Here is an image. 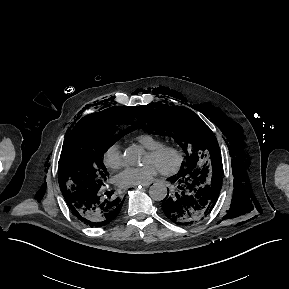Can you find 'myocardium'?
<instances>
[{
  "instance_id": "obj_1",
  "label": "myocardium",
  "mask_w": 289,
  "mask_h": 289,
  "mask_svg": "<svg viewBox=\"0 0 289 289\" xmlns=\"http://www.w3.org/2000/svg\"><path fill=\"white\" fill-rule=\"evenodd\" d=\"M147 153L156 159H160L167 154L173 155L174 160L170 166L158 168L164 175H172L177 173L184 162V152L175 144H162L155 148L148 149Z\"/></svg>"
}]
</instances>
